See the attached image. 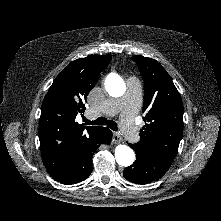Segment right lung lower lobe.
Segmentation results:
<instances>
[{"label":"right lung lower lobe","instance_id":"1","mask_svg":"<svg viewBox=\"0 0 221 221\" xmlns=\"http://www.w3.org/2000/svg\"><path fill=\"white\" fill-rule=\"evenodd\" d=\"M112 132L108 128L100 127L98 132L90 137L78 150L71 171L59 182L65 185L81 182L89 177L92 172V157L101 144H109Z\"/></svg>","mask_w":221,"mask_h":221}]
</instances>
